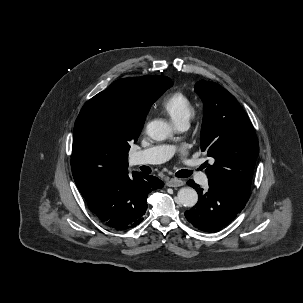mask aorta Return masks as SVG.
Masks as SVG:
<instances>
[{
	"label": "aorta",
	"mask_w": 303,
	"mask_h": 303,
	"mask_svg": "<svg viewBox=\"0 0 303 303\" xmlns=\"http://www.w3.org/2000/svg\"><path fill=\"white\" fill-rule=\"evenodd\" d=\"M147 134L156 141H163L171 136V127L164 121L153 120L147 125ZM198 201V194L191 187H183L178 191L177 202L184 207H193Z\"/></svg>",
	"instance_id": "762f6f07"
}]
</instances>
